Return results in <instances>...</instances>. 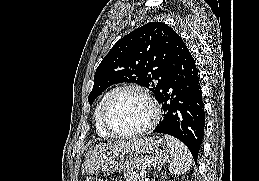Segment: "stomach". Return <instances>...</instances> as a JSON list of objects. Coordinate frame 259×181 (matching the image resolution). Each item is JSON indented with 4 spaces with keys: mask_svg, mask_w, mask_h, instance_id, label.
I'll return each instance as SVG.
<instances>
[{
    "mask_svg": "<svg viewBox=\"0 0 259 181\" xmlns=\"http://www.w3.org/2000/svg\"><path fill=\"white\" fill-rule=\"evenodd\" d=\"M170 158L168 144L158 136L129 142L97 145L85 157L83 169L88 174L102 171H133L161 168Z\"/></svg>",
    "mask_w": 259,
    "mask_h": 181,
    "instance_id": "stomach-1",
    "label": "stomach"
}]
</instances>
